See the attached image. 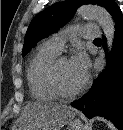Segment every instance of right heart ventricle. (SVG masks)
<instances>
[{"instance_id":"e07e8e85","label":"right heart ventricle","mask_w":123,"mask_h":130,"mask_svg":"<svg viewBox=\"0 0 123 130\" xmlns=\"http://www.w3.org/2000/svg\"><path fill=\"white\" fill-rule=\"evenodd\" d=\"M58 55L59 52L45 42L37 48L29 63L27 80L32 97L38 101L58 99L51 83V66Z\"/></svg>"}]
</instances>
